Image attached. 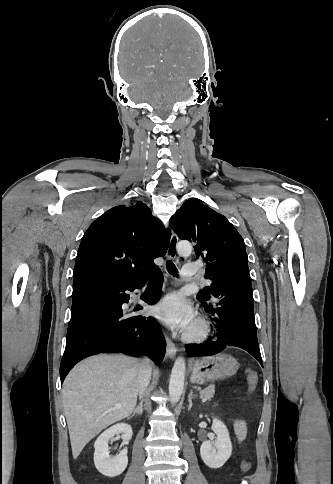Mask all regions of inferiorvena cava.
Instances as JSON below:
<instances>
[{"instance_id": "602c4592", "label": "inferior vena cava", "mask_w": 333, "mask_h": 484, "mask_svg": "<svg viewBox=\"0 0 333 484\" xmlns=\"http://www.w3.org/2000/svg\"><path fill=\"white\" fill-rule=\"evenodd\" d=\"M151 372H152L151 361L149 358L145 357L140 361L139 374H138L140 397L143 395L144 391L146 390L150 382Z\"/></svg>"}]
</instances>
